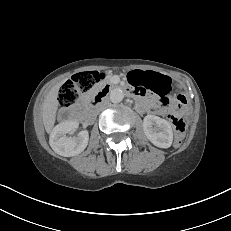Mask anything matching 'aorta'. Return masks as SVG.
I'll return each mask as SVG.
<instances>
[{"mask_svg":"<svg viewBox=\"0 0 231 231\" xmlns=\"http://www.w3.org/2000/svg\"><path fill=\"white\" fill-rule=\"evenodd\" d=\"M109 97L112 103H120L124 98V92L122 89L116 88L110 92Z\"/></svg>","mask_w":231,"mask_h":231,"instance_id":"obj_1","label":"aorta"}]
</instances>
